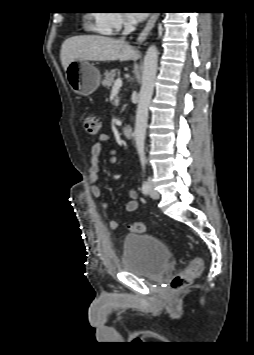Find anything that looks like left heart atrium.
I'll list each match as a JSON object with an SVG mask.
<instances>
[{"label": "left heart atrium", "mask_w": 254, "mask_h": 355, "mask_svg": "<svg viewBox=\"0 0 254 355\" xmlns=\"http://www.w3.org/2000/svg\"><path fill=\"white\" fill-rule=\"evenodd\" d=\"M133 20L135 22L142 21L146 17V13H139V12H134L132 13Z\"/></svg>", "instance_id": "39dd6f15"}]
</instances>
